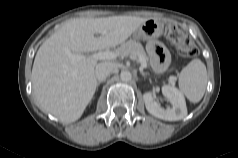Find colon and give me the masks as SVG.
<instances>
[{
    "mask_svg": "<svg viewBox=\"0 0 238 158\" xmlns=\"http://www.w3.org/2000/svg\"><path fill=\"white\" fill-rule=\"evenodd\" d=\"M167 39L172 43L178 54L185 58H193L198 55V49L190 38L176 25H166Z\"/></svg>",
    "mask_w": 238,
    "mask_h": 158,
    "instance_id": "5ec220e1",
    "label": "colon"
}]
</instances>
